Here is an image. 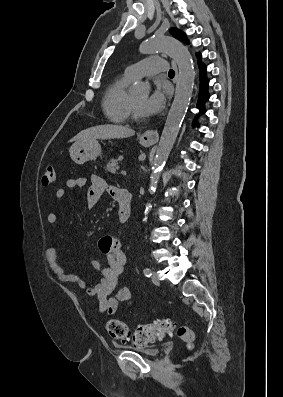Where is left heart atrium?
I'll return each mask as SVG.
<instances>
[{"mask_svg":"<svg viewBox=\"0 0 283 397\" xmlns=\"http://www.w3.org/2000/svg\"><path fill=\"white\" fill-rule=\"evenodd\" d=\"M166 91L156 88L141 104L140 112L143 116H152L159 113L165 104Z\"/></svg>","mask_w":283,"mask_h":397,"instance_id":"left-heart-atrium-1","label":"left heart atrium"}]
</instances>
